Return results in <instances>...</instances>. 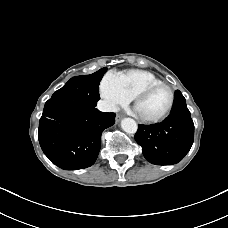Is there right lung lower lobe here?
I'll use <instances>...</instances> for the list:
<instances>
[{
    "label": "right lung lower lobe",
    "instance_id": "obj_1",
    "mask_svg": "<svg viewBox=\"0 0 228 228\" xmlns=\"http://www.w3.org/2000/svg\"><path fill=\"white\" fill-rule=\"evenodd\" d=\"M114 123V113L48 100L40 119L38 139L52 163L65 170L83 169L94 164L101 134Z\"/></svg>",
    "mask_w": 228,
    "mask_h": 228
}]
</instances>
